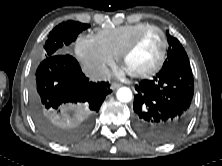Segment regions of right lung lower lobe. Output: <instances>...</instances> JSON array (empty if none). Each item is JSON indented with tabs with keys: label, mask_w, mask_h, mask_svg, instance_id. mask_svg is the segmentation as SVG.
I'll use <instances>...</instances> for the list:
<instances>
[{
	"label": "right lung lower lobe",
	"mask_w": 222,
	"mask_h": 166,
	"mask_svg": "<svg viewBox=\"0 0 222 166\" xmlns=\"http://www.w3.org/2000/svg\"><path fill=\"white\" fill-rule=\"evenodd\" d=\"M109 86L108 82L89 81L77 60L69 54L46 57L36 70L31 94L33 117L42 114L55 121L76 124L75 129L59 134L65 142L74 141L89 127L105 97L111 93Z\"/></svg>",
	"instance_id": "98d812e1"
}]
</instances>
